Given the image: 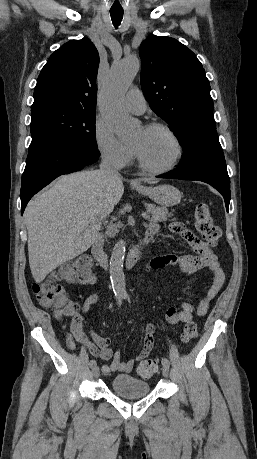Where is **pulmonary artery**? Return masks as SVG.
<instances>
[{"instance_id":"pulmonary-artery-1","label":"pulmonary artery","mask_w":257,"mask_h":459,"mask_svg":"<svg viewBox=\"0 0 257 459\" xmlns=\"http://www.w3.org/2000/svg\"><path fill=\"white\" fill-rule=\"evenodd\" d=\"M123 106L128 112L143 114L146 110V101L140 89L131 88L123 100Z\"/></svg>"}]
</instances>
